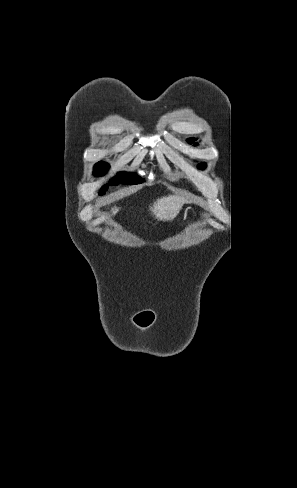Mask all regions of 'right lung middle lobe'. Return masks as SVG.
Segmentation results:
<instances>
[{"label": "right lung middle lobe", "mask_w": 297, "mask_h": 488, "mask_svg": "<svg viewBox=\"0 0 297 488\" xmlns=\"http://www.w3.org/2000/svg\"><path fill=\"white\" fill-rule=\"evenodd\" d=\"M108 169H109V165L103 161H100L94 167V175L95 176L103 175ZM143 181L144 179L139 177L136 173L121 172L118 173L117 177L113 178L111 182L113 185H118L119 183L132 185V184L142 183ZM107 189H108V185H104L99 194L100 195L105 194Z\"/></svg>", "instance_id": "right-lung-middle-lobe-1"}]
</instances>
